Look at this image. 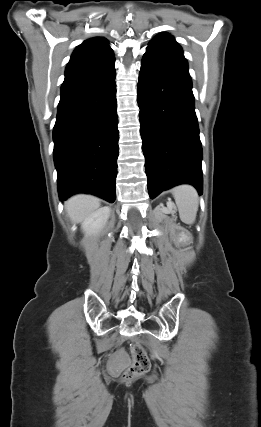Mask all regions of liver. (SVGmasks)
Masks as SVG:
<instances>
[{
	"mask_svg": "<svg viewBox=\"0 0 261 427\" xmlns=\"http://www.w3.org/2000/svg\"><path fill=\"white\" fill-rule=\"evenodd\" d=\"M100 207V200L91 195L78 194L65 202V208L71 221L83 222Z\"/></svg>",
	"mask_w": 261,
	"mask_h": 427,
	"instance_id": "6515ba94",
	"label": "liver"
}]
</instances>
